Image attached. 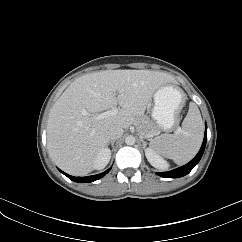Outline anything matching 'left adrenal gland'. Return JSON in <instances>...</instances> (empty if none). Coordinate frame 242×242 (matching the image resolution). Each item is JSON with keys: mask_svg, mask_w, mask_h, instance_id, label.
<instances>
[{"mask_svg": "<svg viewBox=\"0 0 242 242\" xmlns=\"http://www.w3.org/2000/svg\"><path fill=\"white\" fill-rule=\"evenodd\" d=\"M141 141L143 143V148L145 149L146 148V145H147V142L143 139V137L141 136Z\"/></svg>", "mask_w": 242, "mask_h": 242, "instance_id": "obj_1", "label": "left adrenal gland"}]
</instances>
